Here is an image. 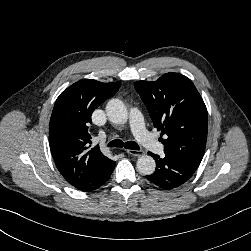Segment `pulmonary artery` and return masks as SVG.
<instances>
[{
  "mask_svg": "<svg viewBox=\"0 0 251 251\" xmlns=\"http://www.w3.org/2000/svg\"><path fill=\"white\" fill-rule=\"evenodd\" d=\"M129 123L136 139L151 152L163 155L164 145L158 142L145 128L143 116L139 109L132 108L129 113Z\"/></svg>",
  "mask_w": 251,
  "mask_h": 251,
  "instance_id": "e3ab8cb5",
  "label": "pulmonary artery"
}]
</instances>
